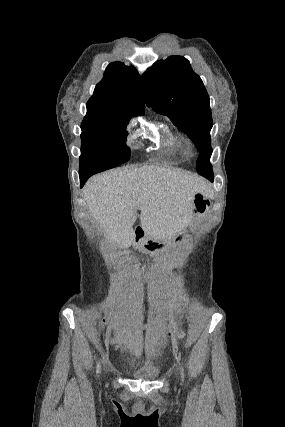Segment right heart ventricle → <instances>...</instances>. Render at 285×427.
<instances>
[{"label": "right heart ventricle", "instance_id": "e07e8e85", "mask_svg": "<svg viewBox=\"0 0 285 427\" xmlns=\"http://www.w3.org/2000/svg\"><path fill=\"white\" fill-rule=\"evenodd\" d=\"M163 143L169 148H179L183 146L184 140L177 134H169L164 138Z\"/></svg>", "mask_w": 285, "mask_h": 427}]
</instances>
